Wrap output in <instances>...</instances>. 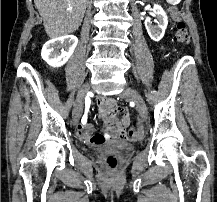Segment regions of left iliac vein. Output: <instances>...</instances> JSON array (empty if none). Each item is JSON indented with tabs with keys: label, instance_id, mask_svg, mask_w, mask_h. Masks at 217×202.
<instances>
[{
	"label": "left iliac vein",
	"instance_id": "4c4485c4",
	"mask_svg": "<svg viewBox=\"0 0 217 202\" xmlns=\"http://www.w3.org/2000/svg\"><path fill=\"white\" fill-rule=\"evenodd\" d=\"M121 96L122 98L131 99L133 102H135L136 109L138 110L140 117L142 118L143 121H147L148 112H147L146 103L138 91L130 87H126L123 90Z\"/></svg>",
	"mask_w": 217,
	"mask_h": 202
}]
</instances>
